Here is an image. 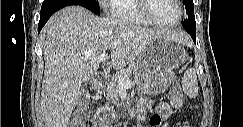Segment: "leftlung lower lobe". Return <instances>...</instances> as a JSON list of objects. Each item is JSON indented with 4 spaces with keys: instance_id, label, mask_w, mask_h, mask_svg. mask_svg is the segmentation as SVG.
I'll return each instance as SVG.
<instances>
[{
    "instance_id": "0a47b994",
    "label": "left lung lower lobe",
    "mask_w": 243,
    "mask_h": 127,
    "mask_svg": "<svg viewBox=\"0 0 243 127\" xmlns=\"http://www.w3.org/2000/svg\"><path fill=\"white\" fill-rule=\"evenodd\" d=\"M184 29L190 34L192 37L194 43L196 42V27H185L183 26Z\"/></svg>"
}]
</instances>
